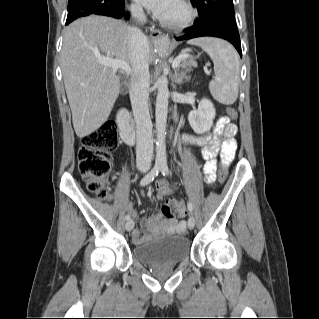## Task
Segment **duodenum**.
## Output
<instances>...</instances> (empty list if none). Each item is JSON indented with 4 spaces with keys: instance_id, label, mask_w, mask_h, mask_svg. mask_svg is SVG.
<instances>
[{
    "instance_id": "obj_1",
    "label": "duodenum",
    "mask_w": 319,
    "mask_h": 319,
    "mask_svg": "<svg viewBox=\"0 0 319 319\" xmlns=\"http://www.w3.org/2000/svg\"><path fill=\"white\" fill-rule=\"evenodd\" d=\"M117 124L119 127L120 136L124 143L133 144L135 141L134 125L127 109L120 108L118 110Z\"/></svg>"
}]
</instances>
